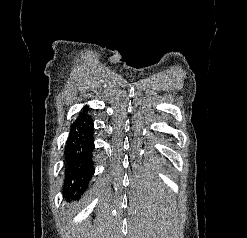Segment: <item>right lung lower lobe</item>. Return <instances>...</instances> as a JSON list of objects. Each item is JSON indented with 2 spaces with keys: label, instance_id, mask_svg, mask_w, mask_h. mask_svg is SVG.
I'll use <instances>...</instances> for the list:
<instances>
[{
  "label": "right lung lower lobe",
  "instance_id": "right-lung-lower-lobe-1",
  "mask_svg": "<svg viewBox=\"0 0 247 238\" xmlns=\"http://www.w3.org/2000/svg\"><path fill=\"white\" fill-rule=\"evenodd\" d=\"M93 126L91 117L83 113L71 127L65 146V189L68 194L88 189L93 174Z\"/></svg>",
  "mask_w": 247,
  "mask_h": 238
}]
</instances>
